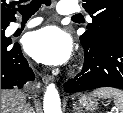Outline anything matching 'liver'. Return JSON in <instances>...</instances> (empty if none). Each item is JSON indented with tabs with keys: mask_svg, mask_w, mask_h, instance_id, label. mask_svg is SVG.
<instances>
[{
	"mask_svg": "<svg viewBox=\"0 0 123 113\" xmlns=\"http://www.w3.org/2000/svg\"><path fill=\"white\" fill-rule=\"evenodd\" d=\"M26 95L17 89L1 90V113H24Z\"/></svg>",
	"mask_w": 123,
	"mask_h": 113,
	"instance_id": "6515ba94",
	"label": "liver"
}]
</instances>
